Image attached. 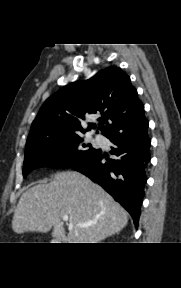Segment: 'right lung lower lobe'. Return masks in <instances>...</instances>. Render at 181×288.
I'll return each mask as SVG.
<instances>
[{
	"mask_svg": "<svg viewBox=\"0 0 181 288\" xmlns=\"http://www.w3.org/2000/svg\"><path fill=\"white\" fill-rule=\"evenodd\" d=\"M113 146L108 159L98 149L84 161L73 165L77 170L102 186L131 215L138 226L146 183V168L151 159V140L147 130L137 136L118 135L108 138ZM106 158L107 162H103Z\"/></svg>",
	"mask_w": 181,
	"mask_h": 288,
	"instance_id": "1",
	"label": "right lung lower lobe"
}]
</instances>
